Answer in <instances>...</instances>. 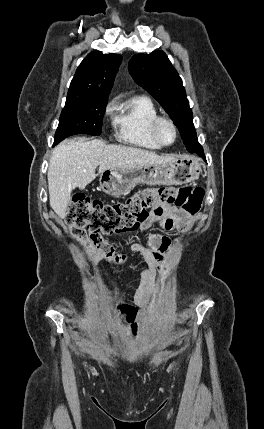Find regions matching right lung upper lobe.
I'll return each instance as SVG.
<instances>
[{
  "mask_svg": "<svg viewBox=\"0 0 264 429\" xmlns=\"http://www.w3.org/2000/svg\"><path fill=\"white\" fill-rule=\"evenodd\" d=\"M121 61L119 54L89 53L77 68L67 96L108 98Z\"/></svg>",
  "mask_w": 264,
  "mask_h": 429,
  "instance_id": "obj_1",
  "label": "right lung upper lobe"
}]
</instances>
